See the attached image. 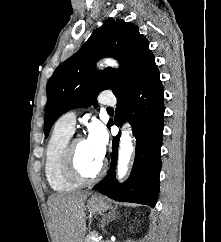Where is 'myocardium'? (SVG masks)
Here are the masks:
<instances>
[{"instance_id":"obj_1","label":"myocardium","mask_w":221,"mask_h":242,"mask_svg":"<svg viewBox=\"0 0 221 242\" xmlns=\"http://www.w3.org/2000/svg\"><path fill=\"white\" fill-rule=\"evenodd\" d=\"M74 139L67 144L65 156H64V170L66 175L77 183H89L96 180L103 172L105 163L100 162L97 170L92 174H84L78 167L76 158V141Z\"/></svg>"}]
</instances>
